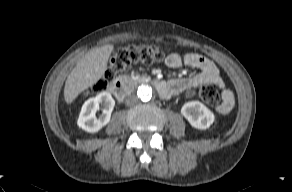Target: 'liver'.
Listing matches in <instances>:
<instances>
[{"label": "liver", "instance_id": "liver-1", "mask_svg": "<svg viewBox=\"0 0 292 192\" xmlns=\"http://www.w3.org/2000/svg\"><path fill=\"white\" fill-rule=\"evenodd\" d=\"M113 48V45L95 48L78 61L65 82L64 99L67 104L72 103L81 92L101 79Z\"/></svg>", "mask_w": 292, "mask_h": 192}]
</instances>
